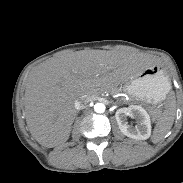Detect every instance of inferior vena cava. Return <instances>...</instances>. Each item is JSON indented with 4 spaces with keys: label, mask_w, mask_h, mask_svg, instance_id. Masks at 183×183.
Returning <instances> with one entry per match:
<instances>
[{
    "label": "inferior vena cava",
    "mask_w": 183,
    "mask_h": 183,
    "mask_svg": "<svg viewBox=\"0 0 183 183\" xmlns=\"http://www.w3.org/2000/svg\"><path fill=\"white\" fill-rule=\"evenodd\" d=\"M90 101H91V99H90L88 96L83 95V96H81L78 100L75 101L74 106H75V108H76L77 110H80V109L84 108L85 105H86L88 102H90Z\"/></svg>",
    "instance_id": "inferior-vena-cava-1"
}]
</instances>
